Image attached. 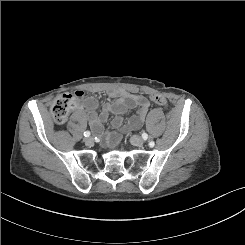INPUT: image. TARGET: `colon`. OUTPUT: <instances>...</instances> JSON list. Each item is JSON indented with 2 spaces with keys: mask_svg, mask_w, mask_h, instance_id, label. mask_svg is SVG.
<instances>
[{
  "mask_svg": "<svg viewBox=\"0 0 245 245\" xmlns=\"http://www.w3.org/2000/svg\"><path fill=\"white\" fill-rule=\"evenodd\" d=\"M84 97V93L75 92L74 94H63L58 96L51 105V114L57 124L66 121L71 110L77 105L79 100ZM151 100L158 106L167 107L168 100L161 94H154Z\"/></svg>",
  "mask_w": 245,
  "mask_h": 245,
  "instance_id": "colon-1",
  "label": "colon"
}]
</instances>
